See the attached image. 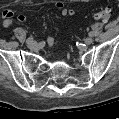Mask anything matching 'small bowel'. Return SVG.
<instances>
[{
	"label": "small bowel",
	"instance_id": "1",
	"mask_svg": "<svg viewBox=\"0 0 119 119\" xmlns=\"http://www.w3.org/2000/svg\"><path fill=\"white\" fill-rule=\"evenodd\" d=\"M55 6L58 10H60L63 16H72L74 14L73 10L65 8L64 3L61 1L56 2ZM14 15L15 13L13 10L7 9L3 11L2 16L4 27L8 28L11 26ZM17 19L20 22H24L26 20V17L24 15H19ZM48 44L49 46L53 47L57 44V41L52 36H50L48 38Z\"/></svg>",
	"mask_w": 119,
	"mask_h": 119
}]
</instances>
